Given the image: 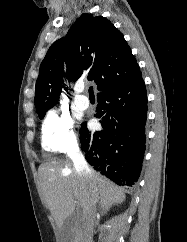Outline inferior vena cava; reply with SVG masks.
<instances>
[{"instance_id": "602c4592", "label": "inferior vena cava", "mask_w": 187, "mask_h": 242, "mask_svg": "<svg viewBox=\"0 0 187 242\" xmlns=\"http://www.w3.org/2000/svg\"><path fill=\"white\" fill-rule=\"evenodd\" d=\"M68 156L73 161L75 170L79 176L92 181L93 173L89 168L83 154L81 153L77 144H74L68 151ZM98 199L97 189L94 184L91 183V204L89 214L85 219L83 226V239L82 242H93V225L95 221V210Z\"/></svg>"}]
</instances>
